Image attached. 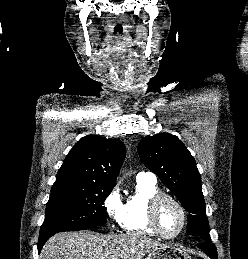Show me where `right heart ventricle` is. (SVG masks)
Here are the masks:
<instances>
[{
	"label": "right heart ventricle",
	"mask_w": 248,
	"mask_h": 259,
	"mask_svg": "<svg viewBox=\"0 0 248 259\" xmlns=\"http://www.w3.org/2000/svg\"><path fill=\"white\" fill-rule=\"evenodd\" d=\"M160 193L156 181L137 178L136 186L122 209L121 226L128 233L156 235L149 223L148 207L150 200Z\"/></svg>",
	"instance_id": "e07e8e85"
}]
</instances>
